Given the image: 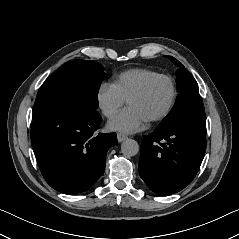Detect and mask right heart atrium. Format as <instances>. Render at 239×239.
<instances>
[{"mask_svg":"<svg viewBox=\"0 0 239 239\" xmlns=\"http://www.w3.org/2000/svg\"><path fill=\"white\" fill-rule=\"evenodd\" d=\"M124 102V98L114 84L103 83L100 85L97 92V103L106 117H113L123 106Z\"/></svg>","mask_w":239,"mask_h":239,"instance_id":"1","label":"right heart atrium"}]
</instances>
